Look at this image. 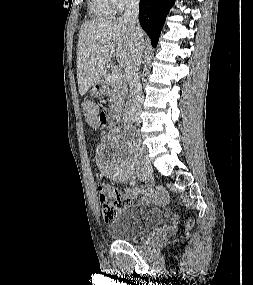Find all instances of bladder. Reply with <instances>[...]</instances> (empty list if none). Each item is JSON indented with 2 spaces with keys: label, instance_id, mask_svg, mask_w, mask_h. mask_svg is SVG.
<instances>
[{
  "label": "bladder",
  "instance_id": "31cf9c89",
  "mask_svg": "<svg viewBox=\"0 0 253 285\" xmlns=\"http://www.w3.org/2000/svg\"><path fill=\"white\" fill-rule=\"evenodd\" d=\"M165 215L158 208L139 204L122 208L107 225L108 235L119 241H133L163 224Z\"/></svg>",
  "mask_w": 253,
  "mask_h": 285
}]
</instances>
